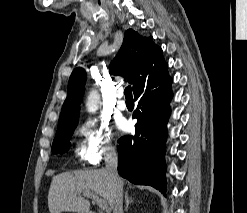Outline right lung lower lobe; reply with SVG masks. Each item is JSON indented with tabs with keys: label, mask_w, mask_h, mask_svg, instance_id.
Masks as SVG:
<instances>
[{
	"label": "right lung lower lobe",
	"mask_w": 247,
	"mask_h": 213,
	"mask_svg": "<svg viewBox=\"0 0 247 213\" xmlns=\"http://www.w3.org/2000/svg\"><path fill=\"white\" fill-rule=\"evenodd\" d=\"M172 79L167 68L141 84L135 91L138 100L134 136L118 140V173L134 184L150 185L166 192L165 145L172 99Z\"/></svg>",
	"instance_id": "1"
}]
</instances>
